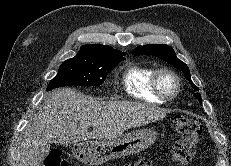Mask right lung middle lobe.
Here are the masks:
<instances>
[{"instance_id": "obj_1", "label": "right lung middle lobe", "mask_w": 231, "mask_h": 166, "mask_svg": "<svg viewBox=\"0 0 231 166\" xmlns=\"http://www.w3.org/2000/svg\"><path fill=\"white\" fill-rule=\"evenodd\" d=\"M126 53L107 55L101 58L77 57L64 61L58 74L50 81L47 90L58 87L81 85L100 86L107 74L119 63Z\"/></svg>"}]
</instances>
